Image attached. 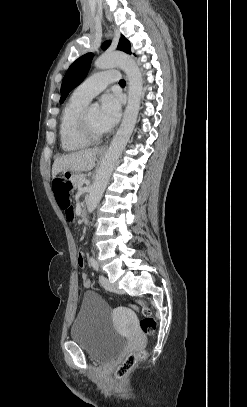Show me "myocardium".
Returning <instances> with one entry per match:
<instances>
[{
    "mask_svg": "<svg viewBox=\"0 0 247 407\" xmlns=\"http://www.w3.org/2000/svg\"><path fill=\"white\" fill-rule=\"evenodd\" d=\"M87 108H83L78 117V130L83 138L88 140L89 142L99 141L104 138L108 134V130L103 132H95L87 119L86 116Z\"/></svg>",
    "mask_w": 247,
    "mask_h": 407,
    "instance_id": "myocardium-1",
    "label": "myocardium"
}]
</instances>
